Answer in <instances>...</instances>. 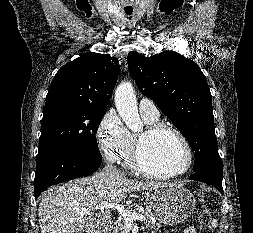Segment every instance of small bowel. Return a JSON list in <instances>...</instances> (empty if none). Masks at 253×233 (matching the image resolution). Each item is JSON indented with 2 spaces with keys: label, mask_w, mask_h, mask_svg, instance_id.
Listing matches in <instances>:
<instances>
[{
  "label": "small bowel",
  "mask_w": 253,
  "mask_h": 233,
  "mask_svg": "<svg viewBox=\"0 0 253 233\" xmlns=\"http://www.w3.org/2000/svg\"><path fill=\"white\" fill-rule=\"evenodd\" d=\"M183 233H197V232H196L195 228L187 227V228H185Z\"/></svg>",
  "instance_id": "c3829d8e"
}]
</instances>
